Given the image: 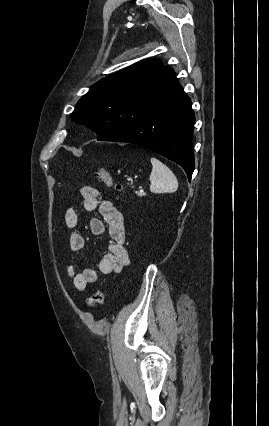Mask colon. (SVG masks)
I'll list each match as a JSON object with an SVG mask.
<instances>
[{"instance_id":"colon-1","label":"colon","mask_w":269,"mask_h":426,"mask_svg":"<svg viewBox=\"0 0 269 426\" xmlns=\"http://www.w3.org/2000/svg\"><path fill=\"white\" fill-rule=\"evenodd\" d=\"M96 176L105 186L113 188L117 191L123 190V186L119 183L114 182L110 173L106 169L98 167L96 170ZM104 299V292L102 290H96L92 295L87 298V305L89 308L96 309L103 304Z\"/></svg>"}]
</instances>
